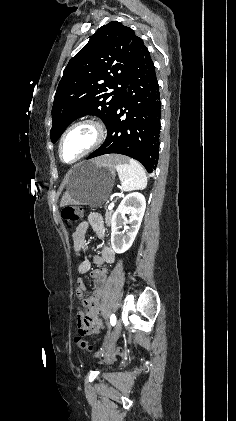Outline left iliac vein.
I'll return each instance as SVG.
<instances>
[{
    "label": "left iliac vein",
    "mask_w": 236,
    "mask_h": 421,
    "mask_svg": "<svg viewBox=\"0 0 236 421\" xmlns=\"http://www.w3.org/2000/svg\"><path fill=\"white\" fill-rule=\"evenodd\" d=\"M121 329H122V322H121V320H117L112 334L110 335V337L105 342L104 348L102 350L96 352L94 357H98L102 352L110 351L114 347V345H115V343H116V341H117V339L120 335Z\"/></svg>",
    "instance_id": "obj_1"
}]
</instances>
